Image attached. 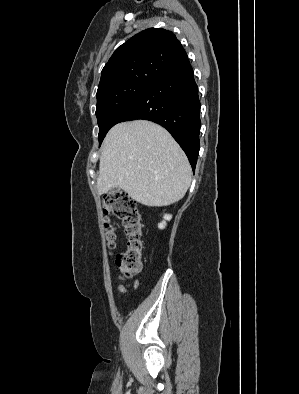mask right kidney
I'll list each match as a JSON object with an SVG mask.
<instances>
[{
  "label": "right kidney",
  "mask_w": 299,
  "mask_h": 394,
  "mask_svg": "<svg viewBox=\"0 0 299 394\" xmlns=\"http://www.w3.org/2000/svg\"><path fill=\"white\" fill-rule=\"evenodd\" d=\"M163 218H164V220L161 223L158 224V228L159 229H164L165 228L166 221H170L171 218H172V215L165 214Z\"/></svg>",
  "instance_id": "obj_1"
}]
</instances>
